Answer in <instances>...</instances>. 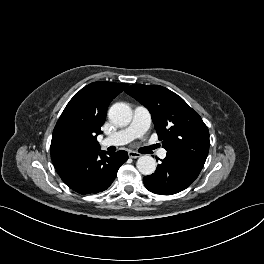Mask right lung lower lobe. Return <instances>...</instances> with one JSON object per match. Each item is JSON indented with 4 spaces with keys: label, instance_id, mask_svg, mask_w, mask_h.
Wrapping results in <instances>:
<instances>
[{
    "label": "right lung lower lobe",
    "instance_id": "obj_1",
    "mask_svg": "<svg viewBox=\"0 0 264 264\" xmlns=\"http://www.w3.org/2000/svg\"><path fill=\"white\" fill-rule=\"evenodd\" d=\"M106 154H109L107 156ZM128 159L125 151H104L76 161L57 170L63 182L80 194L98 193L106 190L114 181L120 166Z\"/></svg>",
    "mask_w": 264,
    "mask_h": 264
}]
</instances>
